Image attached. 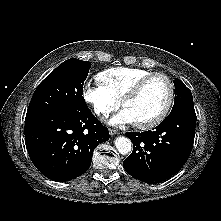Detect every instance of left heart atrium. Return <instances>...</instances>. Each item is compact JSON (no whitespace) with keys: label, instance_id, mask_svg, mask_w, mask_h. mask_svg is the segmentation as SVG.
Instances as JSON below:
<instances>
[{"label":"left heart atrium","instance_id":"left-heart-atrium-1","mask_svg":"<svg viewBox=\"0 0 221 221\" xmlns=\"http://www.w3.org/2000/svg\"><path fill=\"white\" fill-rule=\"evenodd\" d=\"M111 125H123L134 123L131 113L127 109L121 110L118 114L109 119Z\"/></svg>","mask_w":221,"mask_h":221}]
</instances>
